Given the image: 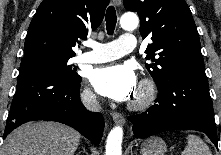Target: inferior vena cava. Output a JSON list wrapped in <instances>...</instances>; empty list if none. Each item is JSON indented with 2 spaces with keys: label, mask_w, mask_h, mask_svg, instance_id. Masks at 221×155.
<instances>
[{
  "label": "inferior vena cava",
  "mask_w": 221,
  "mask_h": 155,
  "mask_svg": "<svg viewBox=\"0 0 221 155\" xmlns=\"http://www.w3.org/2000/svg\"><path fill=\"white\" fill-rule=\"evenodd\" d=\"M82 102L83 104L90 110L93 111H100L101 110V105L96 99L95 94L92 92H85L82 97Z\"/></svg>",
  "instance_id": "1"
}]
</instances>
